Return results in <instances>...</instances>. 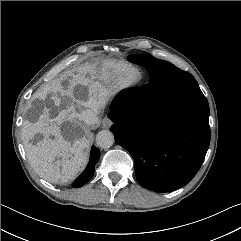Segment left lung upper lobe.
Here are the masks:
<instances>
[{
	"label": "left lung upper lobe",
	"instance_id": "5c2ea615",
	"mask_svg": "<svg viewBox=\"0 0 241 241\" xmlns=\"http://www.w3.org/2000/svg\"><path fill=\"white\" fill-rule=\"evenodd\" d=\"M128 60L144 66L149 75L161 74L169 84L172 96H180L192 89L199 88L195 78L188 72L180 70L173 64L154 58L148 54L130 55Z\"/></svg>",
	"mask_w": 241,
	"mask_h": 241
}]
</instances>
